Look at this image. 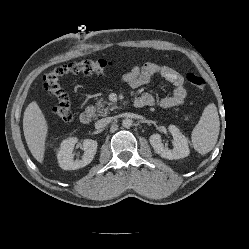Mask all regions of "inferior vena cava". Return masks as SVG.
<instances>
[{"label":"inferior vena cava","mask_w":249,"mask_h":249,"mask_svg":"<svg viewBox=\"0 0 249 249\" xmlns=\"http://www.w3.org/2000/svg\"><path fill=\"white\" fill-rule=\"evenodd\" d=\"M110 122H111L110 117L100 119L95 123V128L101 129V128L105 127L106 125H108Z\"/></svg>","instance_id":"inferior-vena-cava-1"}]
</instances>
